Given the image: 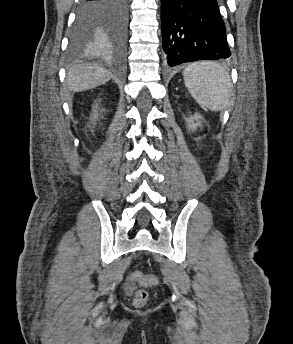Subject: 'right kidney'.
Masks as SVG:
<instances>
[{
	"mask_svg": "<svg viewBox=\"0 0 293 344\" xmlns=\"http://www.w3.org/2000/svg\"><path fill=\"white\" fill-rule=\"evenodd\" d=\"M95 108H97V107H95ZM93 111H94V114H93V116H94V119H96L97 118V110L96 109H93ZM93 120V119H92Z\"/></svg>",
	"mask_w": 293,
	"mask_h": 344,
	"instance_id": "obj_1",
	"label": "right kidney"
}]
</instances>
